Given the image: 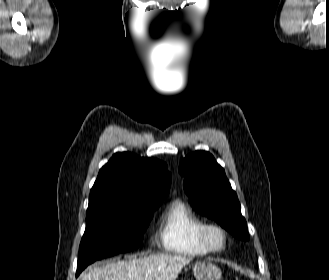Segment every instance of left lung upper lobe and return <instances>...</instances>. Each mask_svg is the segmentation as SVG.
Listing matches in <instances>:
<instances>
[{"label": "left lung upper lobe", "instance_id": "5c2ea615", "mask_svg": "<svg viewBox=\"0 0 329 280\" xmlns=\"http://www.w3.org/2000/svg\"><path fill=\"white\" fill-rule=\"evenodd\" d=\"M179 172L185 177L184 190L195 211L212 217L236 238L249 240L237 195L210 153L189 154L181 161Z\"/></svg>", "mask_w": 329, "mask_h": 280}]
</instances>
